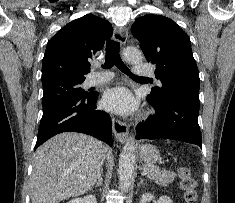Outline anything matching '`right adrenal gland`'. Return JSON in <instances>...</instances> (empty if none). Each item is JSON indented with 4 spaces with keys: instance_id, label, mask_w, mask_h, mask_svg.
Here are the masks:
<instances>
[{
    "instance_id": "obj_1",
    "label": "right adrenal gland",
    "mask_w": 235,
    "mask_h": 203,
    "mask_svg": "<svg viewBox=\"0 0 235 203\" xmlns=\"http://www.w3.org/2000/svg\"><path fill=\"white\" fill-rule=\"evenodd\" d=\"M102 174H103V172L101 171V173L99 174V177H98V181H97V183L95 185V188L98 187V186H102V184H103Z\"/></svg>"
}]
</instances>
